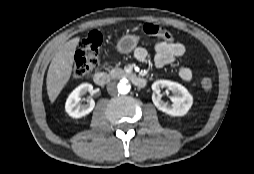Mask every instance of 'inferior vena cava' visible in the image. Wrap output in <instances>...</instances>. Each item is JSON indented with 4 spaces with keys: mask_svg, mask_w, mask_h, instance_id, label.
<instances>
[{
    "mask_svg": "<svg viewBox=\"0 0 254 174\" xmlns=\"http://www.w3.org/2000/svg\"><path fill=\"white\" fill-rule=\"evenodd\" d=\"M107 91L110 95H115L117 93V85L116 82H110L107 85Z\"/></svg>",
    "mask_w": 254,
    "mask_h": 174,
    "instance_id": "obj_1",
    "label": "inferior vena cava"
}]
</instances>
